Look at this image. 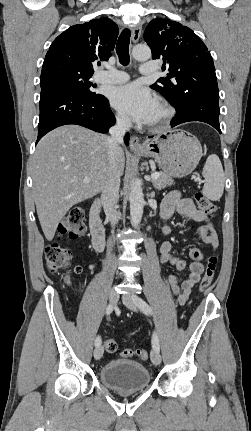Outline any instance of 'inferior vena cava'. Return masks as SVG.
<instances>
[{
  "label": "inferior vena cava",
  "mask_w": 251,
  "mask_h": 431,
  "mask_svg": "<svg viewBox=\"0 0 251 431\" xmlns=\"http://www.w3.org/2000/svg\"><path fill=\"white\" fill-rule=\"evenodd\" d=\"M131 127V120L126 116H118L116 125L109 130L110 136L107 138L109 145V174L108 182L102 191L101 202L107 219L114 227L120 218L117 212V203L119 199L120 174L116 171L117 150L123 142L126 131Z\"/></svg>",
  "instance_id": "obj_1"
}]
</instances>
